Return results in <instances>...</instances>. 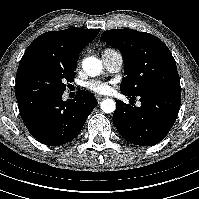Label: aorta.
Masks as SVG:
<instances>
[{
	"mask_svg": "<svg viewBox=\"0 0 199 199\" xmlns=\"http://www.w3.org/2000/svg\"><path fill=\"white\" fill-rule=\"evenodd\" d=\"M83 70L90 76H96L103 69L102 61L94 56H89L84 59L82 64ZM101 109L105 113H112L116 109V103L112 99H105L100 104Z\"/></svg>",
	"mask_w": 199,
	"mask_h": 199,
	"instance_id": "obj_1",
	"label": "aorta"
}]
</instances>
